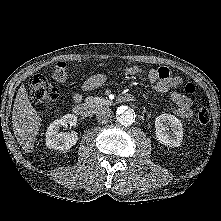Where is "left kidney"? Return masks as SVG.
I'll return each instance as SVG.
<instances>
[{
    "label": "left kidney",
    "mask_w": 221,
    "mask_h": 221,
    "mask_svg": "<svg viewBox=\"0 0 221 221\" xmlns=\"http://www.w3.org/2000/svg\"><path fill=\"white\" fill-rule=\"evenodd\" d=\"M155 134L157 140L169 147H179L183 140V125L171 114H162L155 120Z\"/></svg>",
    "instance_id": "1"
}]
</instances>
